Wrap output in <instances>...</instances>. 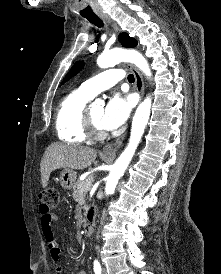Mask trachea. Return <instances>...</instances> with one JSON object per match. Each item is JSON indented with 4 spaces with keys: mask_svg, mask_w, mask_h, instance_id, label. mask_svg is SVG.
<instances>
[{
    "mask_svg": "<svg viewBox=\"0 0 221 274\" xmlns=\"http://www.w3.org/2000/svg\"><path fill=\"white\" fill-rule=\"evenodd\" d=\"M88 21H90L92 24L96 25L97 27H103V21L98 16H91L86 17ZM134 76L132 74L128 75V81L133 83L134 82Z\"/></svg>",
    "mask_w": 221,
    "mask_h": 274,
    "instance_id": "1",
    "label": "trachea"
}]
</instances>
